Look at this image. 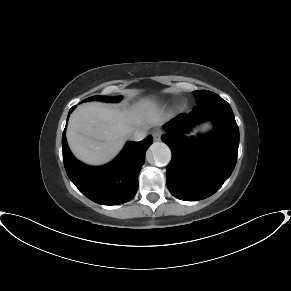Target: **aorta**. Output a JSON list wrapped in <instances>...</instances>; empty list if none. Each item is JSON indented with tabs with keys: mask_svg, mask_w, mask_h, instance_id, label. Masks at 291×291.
I'll list each match as a JSON object with an SVG mask.
<instances>
[{
	"mask_svg": "<svg viewBox=\"0 0 291 291\" xmlns=\"http://www.w3.org/2000/svg\"><path fill=\"white\" fill-rule=\"evenodd\" d=\"M149 153L157 166H166L171 160L170 148L163 142H154L150 148Z\"/></svg>",
	"mask_w": 291,
	"mask_h": 291,
	"instance_id": "762f6f07",
	"label": "aorta"
}]
</instances>
